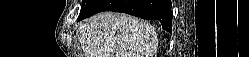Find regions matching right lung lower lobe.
<instances>
[{
  "instance_id": "right-lung-lower-lobe-1",
  "label": "right lung lower lobe",
  "mask_w": 249,
  "mask_h": 57,
  "mask_svg": "<svg viewBox=\"0 0 249 57\" xmlns=\"http://www.w3.org/2000/svg\"><path fill=\"white\" fill-rule=\"evenodd\" d=\"M101 11L124 12L147 20H159L163 29L172 30L170 0H91L81 9L78 20Z\"/></svg>"
}]
</instances>
